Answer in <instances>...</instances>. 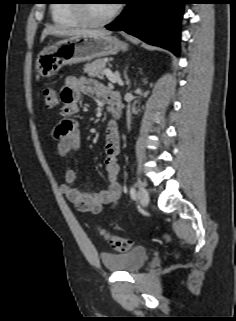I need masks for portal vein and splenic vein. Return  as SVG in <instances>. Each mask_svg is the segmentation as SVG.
<instances>
[{"mask_svg": "<svg viewBox=\"0 0 236 321\" xmlns=\"http://www.w3.org/2000/svg\"><path fill=\"white\" fill-rule=\"evenodd\" d=\"M104 74L106 75L108 80L111 81L112 83H117L118 82L117 74H114L111 70L106 69L104 71Z\"/></svg>", "mask_w": 236, "mask_h": 321, "instance_id": "18ae733b", "label": "portal vein and splenic vein"}]
</instances>
